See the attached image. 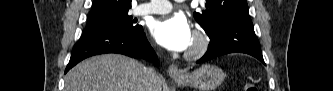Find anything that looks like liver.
Returning a JSON list of instances; mask_svg holds the SVG:
<instances>
[{
  "mask_svg": "<svg viewBox=\"0 0 333 91\" xmlns=\"http://www.w3.org/2000/svg\"><path fill=\"white\" fill-rule=\"evenodd\" d=\"M146 67L118 54L94 56L72 68L65 78V91H146ZM157 79L154 91H161Z\"/></svg>",
  "mask_w": 333,
  "mask_h": 91,
  "instance_id": "6515ba94",
  "label": "liver"
}]
</instances>
